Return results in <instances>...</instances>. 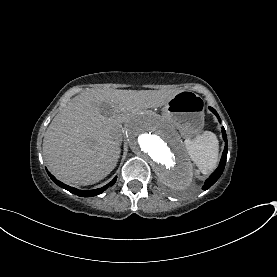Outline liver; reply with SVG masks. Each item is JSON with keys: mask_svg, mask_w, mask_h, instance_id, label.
Here are the masks:
<instances>
[{"mask_svg": "<svg viewBox=\"0 0 277 277\" xmlns=\"http://www.w3.org/2000/svg\"><path fill=\"white\" fill-rule=\"evenodd\" d=\"M173 95L156 90L93 89L75 96L44 135L46 164L65 182L83 186L99 182L116 167L130 121L140 110L165 105Z\"/></svg>", "mask_w": 277, "mask_h": 277, "instance_id": "1", "label": "liver"}]
</instances>
